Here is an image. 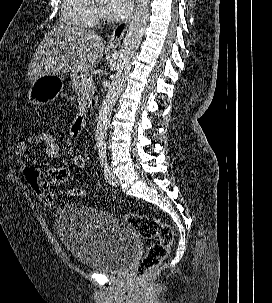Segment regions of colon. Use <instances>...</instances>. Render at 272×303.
Here are the masks:
<instances>
[{
	"label": "colon",
	"mask_w": 272,
	"mask_h": 303,
	"mask_svg": "<svg viewBox=\"0 0 272 303\" xmlns=\"http://www.w3.org/2000/svg\"><path fill=\"white\" fill-rule=\"evenodd\" d=\"M36 135L40 147L45 150L59 148L54 132L45 130ZM72 161L76 170L81 171L86 168V158L83 154H75ZM25 176L40 201L46 205H51L54 200L53 195L39 185L35 169H25ZM68 194L75 197H86L87 191L82 188H72L68 191ZM125 220L141 238L157 239L156 242L148 247L146 255L137 267L138 277L144 279L168 256L174 240V231L170 225L162 223L152 215L129 213L125 216Z\"/></svg>",
	"instance_id": "obj_1"
}]
</instances>
